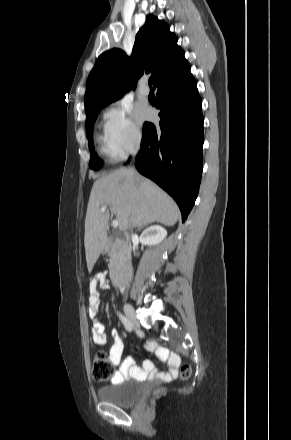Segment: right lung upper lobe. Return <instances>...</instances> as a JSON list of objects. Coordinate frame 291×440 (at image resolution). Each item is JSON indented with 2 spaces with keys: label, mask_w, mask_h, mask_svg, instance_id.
Returning a JSON list of instances; mask_svg holds the SVG:
<instances>
[{
  "label": "right lung upper lobe",
  "mask_w": 291,
  "mask_h": 440,
  "mask_svg": "<svg viewBox=\"0 0 291 440\" xmlns=\"http://www.w3.org/2000/svg\"><path fill=\"white\" fill-rule=\"evenodd\" d=\"M177 37L164 21L147 15L136 34L132 56L113 48L97 59L88 80L85 110L107 105L136 86L143 74H151L153 87L189 66Z\"/></svg>",
  "instance_id": "right-lung-upper-lobe-1"
}]
</instances>
